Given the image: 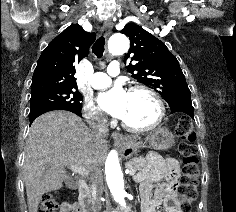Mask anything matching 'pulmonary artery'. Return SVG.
I'll use <instances>...</instances> for the list:
<instances>
[{
	"mask_svg": "<svg viewBox=\"0 0 236 212\" xmlns=\"http://www.w3.org/2000/svg\"><path fill=\"white\" fill-rule=\"evenodd\" d=\"M120 73V65L118 62H112L107 73L96 72L93 75L92 86L96 89H103L110 85L111 77L117 76Z\"/></svg>",
	"mask_w": 236,
	"mask_h": 212,
	"instance_id": "pulmonary-artery-1",
	"label": "pulmonary artery"
}]
</instances>
